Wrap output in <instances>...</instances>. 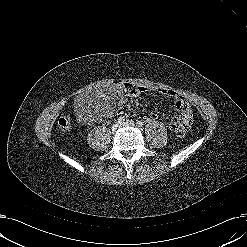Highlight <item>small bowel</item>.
Here are the masks:
<instances>
[{
	"mask_svg": "<svg viewBox=\"0 0 247 247\" xmlns=\"http://www.w3.org/2000/svg\"><path fill=\"white\" fill-rule=\"evenodd\" d=\"M148 90H151V87L145 85H139V86H131L129 92L131 96H138L141 93L146 92ZM156 90L158 93L169 96L173 100L174 109L179 113L177 117H174L170 120V126L173 128H178L181 126L182 127L185 126L188 128L192 121V113H191L190 105L185 100V98L173 90L162 89V88H156ZM150 117L156 118L157 114L152 113Z\"/></svg>",
	"mask_w": 247,
	"mask_h": 247,
	"instance_id": "1",
	"label": "small bowel"
}]
</instances>
